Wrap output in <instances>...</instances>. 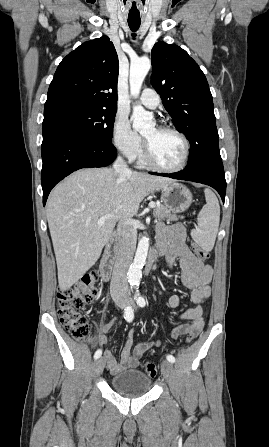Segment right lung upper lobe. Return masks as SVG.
Listing matches in <instances>:
<instances>
[{
    "label": "right lung upper lobe",
    "instance_id": "cb5924a9",
    "mask_svg": "<svg viewBox=\"0 0 269 447\" xmlns=\"http://www.w3.org/2000/svg\"><path fill=\"white\" fill-rule=\"evenodd\" d=\"M118 56L107 36L83 43L59 64L44 114L65 106L117 109Z\"/></svg>",
    "mask_w": 269,
    "mask_h": 447
}]
</instances>
